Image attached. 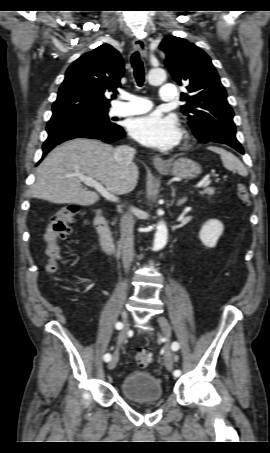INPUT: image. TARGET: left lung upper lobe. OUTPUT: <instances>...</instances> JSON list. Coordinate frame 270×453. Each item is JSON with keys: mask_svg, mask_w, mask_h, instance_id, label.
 <instances>
[{"mask_svg": "<svg viewBox=\"0 0 270 453\" xmlns=\"http://www.w3.org/2000/svg\"><path fill=\"white\" fill-rule=\"evenodd\" d=\"M166 53L165 65L173 79L186 84L182 112L194 135L202 142H236L233 110L210 57L187 40L167 36L160 44Z\"/></svg>", "mask_w": 270, "mask_h": 453, "instance_id": "1", "label": "left lung upper lobe"}]
</instances>
